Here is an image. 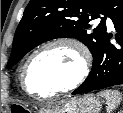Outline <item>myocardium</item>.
<instances>
[{"label": "myocardium", "instance_id": "myocardium-1", "mask_svg": "<svg viewBox=\"0 0 123 113\" xmlns=\"http://www.w3.org/2000/svg\"><path fill=\"white\" fill-rule=\"evenodd\" d=\"M58 45H65L69 46L72 49L76 51L79 57V72L77 76L68 82L66 85H64L61 88H58L48 94H35L29 91L26 83V75H27V70L32 62V60L41 52H43L46 49H49L54 46ZM91 64H92V56L89 48L85 45L84 42L79 40L78 38L72 37V36H60L53 38L51 40H48L38 46L36 49H34L31 54L28 56L26 61L24 62L22 69H21V75H20V80H21V85L23 89L31 96L39 99H49L52 98L56 95L63 94L65 92H68L80 84H82L85 79L88 77L91 71Z\"/></svg>", "mask_w": 123, "mask_h": 113}]
</instances>
